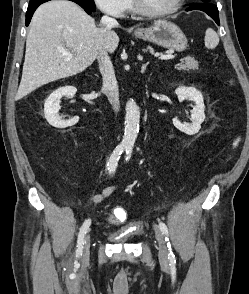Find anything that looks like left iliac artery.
Listing matches in <instances>:
<instances>
[{"label":"left iliac artery","mask_w":249,"mask_h":294,"mask_svg":"<svg viewBox=\"0 0 249 294\" xmlns=\"http://www.w3.org/2000/svg\"><path fill=\"white\" fill-rule=\"evenodd\" d=\"M131 152H132V146H128L126 148V158H125L126 161H128L130 159ZM159 228L162 231V233L165 235V241L167 242V247L169 248L168 259H169L171 264H174V263H176V260H175L174 254H173V252L171 250V245H170L169 237H168L169 236L168 228L163 222L159 223Z\"/></svg>","instance_id":"obj_1"}]
</instances>
